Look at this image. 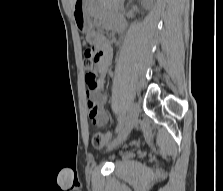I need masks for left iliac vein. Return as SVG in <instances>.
<instances>
[{
  "label": "left iliac vein",
  "mask_w": 223,
  "mask_h": 191,
  "mask_svg": "<svg viewBox=\"0 0 223 191\" xmlns=\"http://www.w3.org/2000/svg\"><path fill=\"white\" fill-rule=\"evenodd\" d=\"M139 113L140 105L137 102H133L130 106L127 121L124 127L118 132L117 137L109 144L108 150H112L118 147L126 139L131 130L137 124Z\"/></svg>",
  "instance_id": "1"
}]
</instances>
